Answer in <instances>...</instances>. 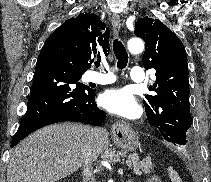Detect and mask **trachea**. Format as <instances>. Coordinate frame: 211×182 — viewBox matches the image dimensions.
<instances>
[{"instance_id": "trachea-1", "label": "trachea", "mask_w": 211, "mask_h": 182, "mask_svg": "<svg viewBox=\"0 0 211 182\" xmlns=\"http://www.w3.org/2000/svg\"><path fill=\"white\" fill-rule=\"evenodd\" d=\"M113 51L117 59V67L118 69H124L127 66L128 63V53L126 52L125 47L123 46L122 42L118 39H115L113 42ZM101 60L98 59L95 62V66H100Z\"/></svg>"}]
</instances>
